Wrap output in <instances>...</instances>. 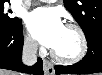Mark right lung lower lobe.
Here are the masks:
<instances>
[{
	"instance_id": "obj_1",
	"label": "right lung lower lobe",
	"mask_w": 102,
	"mask_h": 75,
	"mask_svg": "<svg viewBox=\"0 0 102 75\" xmlns=\"http://www.w3.org/2000/svg\"><path fill=\"white\" fill-rule=\"evenodd\" d=\"M23 30L22 23L14 28H0V68L18 72L43 75L42 59L32 67L22 64Z\"/></svg>"
}]
</instances>
